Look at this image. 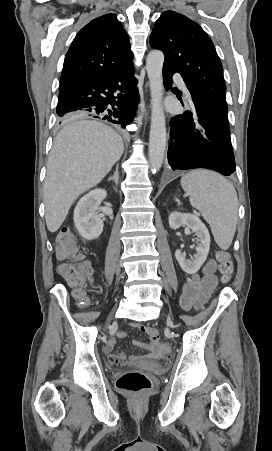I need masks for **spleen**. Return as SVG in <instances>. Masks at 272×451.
I'll use <instances>...</instances> for the list:
<instances>
[{
  "instance_id": "spleen-1",
  "label": "spleen",
  "mask_w": 272,
  "mask_h": 451,
  "mask_svg": "<svg viewBox=\"0 0 272 451\" xmlns=\"http://www.w3.org/2000/svg\"><path fill=\"white\" fill-rule=\"evenodd\" d=\"M190 204L210 224L216 243L228 249L237 226L238 198L229 180L209 170H193L181 178Z\"/></svg>"
}]
</instances>
